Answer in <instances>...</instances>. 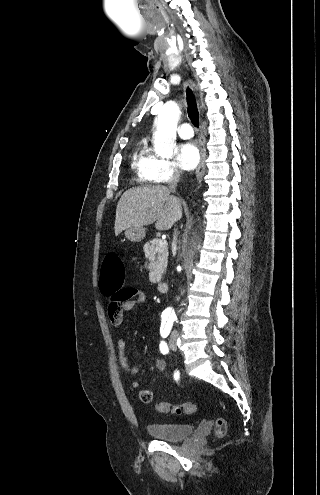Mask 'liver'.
Returning <instances> with one entry per match:
<instances>
[{
    "label": "liver",
    "mask_w": 320,
    "mask_h": 495,
    "mask_svg": "<svg viewBox=\"0 0 320 495\" xmlns=\"http://www.w3.org/2000/svg\"><path fill=\"white\" fill-rule=\"evenodd\" d=\"M182 217L180 200L164 186L136 187L120 198L115 217V235L130 227L155 223L157 230H168Z\"/></svg>",
    "instance_id": "1"
}]
</instances>
